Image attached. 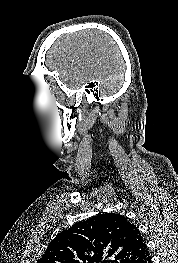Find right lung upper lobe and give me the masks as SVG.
Here are the masks:
<instances>
[{
    "mask_svg": "<svg viewBox=\"0 0 178 263\" xmlns=\"http://www.w3.org/2000/svg\"><path fill=\"white\" fill-rule=\"evenodd\" d=\"M148 255L136 225L104 213L61 231L38 263H142Z\"/></svg>",
    "mask_w": 178,
    "mask_h": 263,
    "instance_id": "1",
    "label": "right lung upper lobe"
}]
</instances>
